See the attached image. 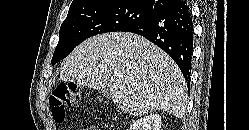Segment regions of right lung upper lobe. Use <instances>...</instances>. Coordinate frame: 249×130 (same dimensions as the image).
<instances>
[{
    "label": "right lung upper lobe",
    "mask_w": 249,
    "mask_h": 130,
    "mask_svg": "<svg viewBox=\"0 0 249 130\" xmlns=\"http://www.w3.org/2000/svg\"><path fill=\"white\" fill-rule=\"evenodd\" d=\"M95 1H102V0H73L70 9L84 4H89ZM127 1L139 7L154 11L155 13L160 12L164 8L176 2V0H127Z\"/></svg>",
    "instance_id": "1"
}]
</instances>
